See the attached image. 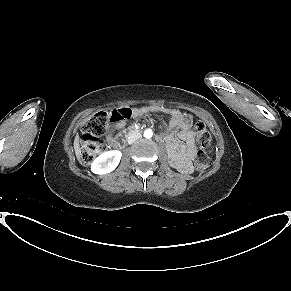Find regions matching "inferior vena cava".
Masks as SVG:
<instances>
[{
	"label": "inferior vena cava",
	"instance_id": "602c4592",
	"mask_svg": "<svg viewBox=\"0 0 291 291\" xmlns=\"http://www.w3.org/2000/svg\"><path fill=\"white\" fill-rule=\"evenodd\" d=\"M141 137H142V135L140 133L134 132V133L129 135L128 143L131 144V143L135 142L136 140L140 139Z\"/></svg>",
	"mask_w": 291,
	"mask_h": 291
}]
</instances>
